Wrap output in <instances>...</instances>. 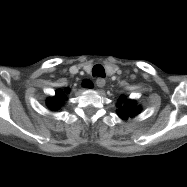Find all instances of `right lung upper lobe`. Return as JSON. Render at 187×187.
<instances>
[{"mask_svg": "<svg viewBox=\"0 0 187 187\" xmlns=\"http://www.w3.org/2000/svg\"><path fill=\"white\" fill-rule=\"evenodd\" d=\"M65 91H67V89H65ZM63 99H64V93L58 90L54 98L47 100V105L51 110H57L61 106Z\"/></svg>", "mask_w": 187, "mask_h": 187, "instance_id": "1", "label": "right lung upper lobe"}]
</instances>
